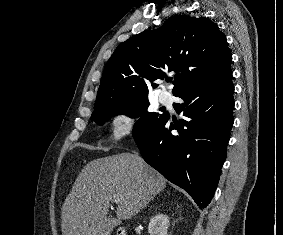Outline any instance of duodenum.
<instances>
[{"label": "duodenum", "mask_w": 283, "mask_h": 235, "mask_svg": "<svg viewBox=\"0 0 283 235\" xmlns=\"http://www.w3.org/2000/svg\"><path fill=\"white\" fill-rule=\"evenodd\" d=\"M119 235H126V233H125V231L124 230H121V231H119V233H118Z\"/></svg>", "instance_id": "duodenum-1"}]
</instances>
